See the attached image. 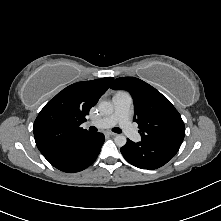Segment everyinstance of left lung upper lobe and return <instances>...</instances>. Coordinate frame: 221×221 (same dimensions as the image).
Listing matches in <instances>:
<instances>
[{
  "instance_id": "1",
  "label": "left lung upper lobe",
  "mask_w": 221,
  "mask_h": 221,
  "mask_svg": "<svg viewBox=\"0 0 221 221\" xmlns=\"http://www.w3.org/2000/svg\"><path fill=\"white\" fill-rule=\"evenodd\" d=\"M114 90L130 92L134 100V121L138 123L142 142L171 145L180 148L184 136V122L169 100L158 90L135 77L117 78Z\"/></svg>"
}]
</instances>
